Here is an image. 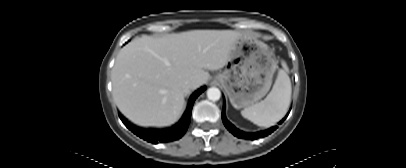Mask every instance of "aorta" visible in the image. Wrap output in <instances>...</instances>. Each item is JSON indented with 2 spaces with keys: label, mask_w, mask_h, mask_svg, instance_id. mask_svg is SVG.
Returning a JSON list of instances; mask_svg holds the SVG:
<instances>
[{
  "label": "aorta",
  "mask_w": 406,
  "mask_h": 168,
  "mask_svg": "<svg viewBox=\"0 0 406 168\" xmlns=\"http://www.w3.org/2000/svg\"><path fill=\"white\" fill-rule=\"evenodd\" d=\"M207 97L211 101H217L221 97V92L216 87H211L207 90Z\"/></svg>",
  "instance_id": "1"
}]
</instances>
